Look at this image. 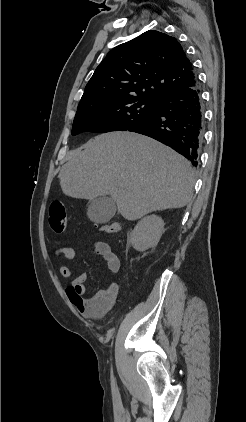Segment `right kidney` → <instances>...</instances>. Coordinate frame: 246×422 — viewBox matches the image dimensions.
I'll list each match as a JSON object with an SVG mask.
<instances>
[{
	"instance_id": "1",
	"label": "right kidney",
	"mask_w": 246,
	"mask_h": 422,
	"mask_svg": "<svg viewBox=\"0 0 246 422\" xmlns=\"http://www.w3.org/2000/svg\"><path fill=\"white\" fill-rule=\"evenodd\" d=\"M164 232V221L156 215L140 220L130 234V242L137 251L155 247Z\"/></svg>"
}]
</instances>
